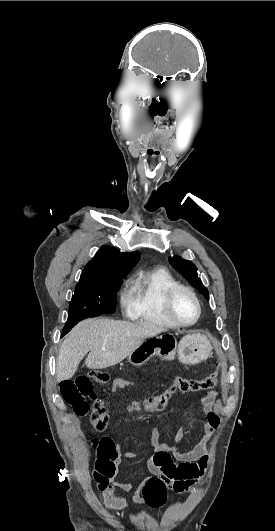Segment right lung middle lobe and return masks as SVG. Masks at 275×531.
Segmentation results:
<instances>
[{
    "mask_svg": "<svg viewBox=\"0 0 275 531\" xmlns=\"http://www.w3.org/2000/svg\"><path fill=\"white\" fill-rule=\"evenodd\" d=\"M122 278L80 280L75 287L62 334L65 335L85 318L113 313L116 310V293Z\"/></svg>",
    "mask_w": 275,
    "mask_h": 531,
    "instance_id": "obj_1",
    "label": "right lung middle lobe"
}]
</instances>
